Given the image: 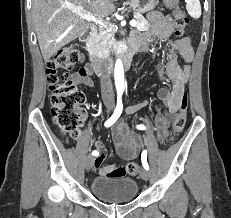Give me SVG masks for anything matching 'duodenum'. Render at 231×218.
<instances>
[{"mask_svg":"<svg viewBox=\"0 0 231 218\" xmlns=\"http://www.w3.org/2000/svg\"><path fill=\"white\" fill-rule=\"evenodd\" d=\"M95 33V26L93 24H88L85 31L81 34L80 39L83 41L88 40ZM135 50L133 48H128L126 50H121L118 52V57L124 62L126 66H129L132 62ZM91 70H93L98 75H106L109 71V63L102 56H95L90 62Z\"/></svg>","mask_w":231,"mask_h":218,"instance_id":"obj_1","label":"duodenum"}]
</instances>
